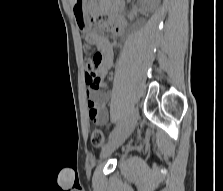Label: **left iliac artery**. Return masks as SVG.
<instances>
[{
  "instance_id": "obj_1",
  "label": "left iliac artery",
  "mask_w": 223,
  "mask_h": 191,
  "mask_svg": "<svg viewBox=\"0 0 223 191\" xmlns=\"http://www.w3.org/2000/svg\"><path fill=\"white\" fill-rule=\"evenodd\" d=\"M124 125V121H120L115 128L112 130V132L109 135V139H112L113 137L116 136V134L120 131V129L122 128V126Z\"/></svg>"
}]
</instances>
